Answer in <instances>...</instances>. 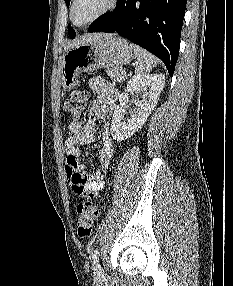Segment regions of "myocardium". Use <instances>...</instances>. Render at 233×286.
<instances>
[{
	"instance_id": "obj_1",
	"label": "myocardium",
	"mask_w": 233,
	"mask_h": 286,
	"mask_svg": "<svg viewBox=\"0 0 233 286\" xmlns=\"http://www.w3.org/2000/svg\"><path fill=\"white\" fill-rule=\"evenodd\" d=\"M118 1L119 0H109L108 5L100 13H98L95 17H93L92 19L88 20L85 23L78 24L74 19V8H75L77 0H72L71 7H70V20L77 27L88 26V25L92 24L93 22L97 21L98 19H100L101 17H103L104 15H106L107 13H109L110 11H112L117 6Z\"/></svg>"
}]
</instances>
